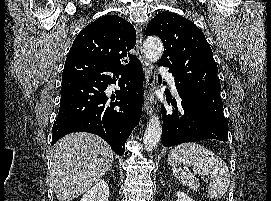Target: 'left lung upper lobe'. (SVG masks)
<instances>
[{
  "label": "left lung upper lobe",
  "mask_w": 271,
  "mask_h": 201,
  "mask_svg": "<svg viewBox=\"0 0 271 201\" xmlns=\"http://www.w3.org/2000/svg\"><path fill=\"white\" fill-rule=\"evenodd\" d=\"M146 35L161 38L165 51L159 65L169 68L179 92L203 110L212 132L228 139L218 67L203 32L188 19L163 12L149 22Z\"/></svg>",
  "instance_id": "1"
}]
</instances>
